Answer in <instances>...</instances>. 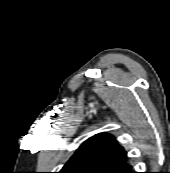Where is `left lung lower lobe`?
Instances as JSON below:
<instances>
[{
	"mask_svg": "<svg viewBox=\"0 0 170 173\" xmlns=\"http://www.w3.org/2000/svg\"><path fill=\"white\" fill-rule=\"evenodd\" d=\"M121 173H134V172L132 171V166L129 165Z\"/></svg>",
	"mask_w": 170,
	"mask_h": 173,
	"instance_id": "1",
	"label": "left lung lower lobe"
}]
</instances>
